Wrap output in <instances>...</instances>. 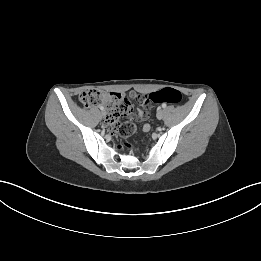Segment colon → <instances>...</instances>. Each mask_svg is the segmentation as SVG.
Returning <instances> with one entry per match:
<instances>
[{
	"mask_svg": "<svg viewBox=\"0 0 261 261\" xmlns=\"http://www.w3.org/2000/svg\"><path fill=\"white\" fill-rule=\"evenodd\" d=\"M151 102H167L180 104L181 93L173 88H165L148 95ZM85 107L105 104L108 109L107 125L115 134L121 147H128V139L135 131V125L130 121H121V118L131 112V103L119 93H107L96 88L85 89L79 97Z\"/></svg>",
	"mask_w": 261,
	"mask_h": 261,
	"instance_id": "obj_1",
	"label": "colon"
}]
</instances>
